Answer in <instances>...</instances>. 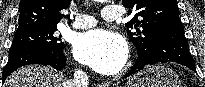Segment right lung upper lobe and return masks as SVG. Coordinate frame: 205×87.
<instances>
[{"label":"right lung upper lobe","instance_id":"right-lung-upper-lobe-1","mask_svg":"<svg viewBox=\"0 0 205 87\" xmlns=\"http://www.w3.org/2000/svg\"><path fill=\"white\" fill-rule=\"evenodd\" d=\"M71 0H21L19 4V26L17 32L57 28Z\"/></svg>","mask_w":205,"mask_h":87}]
</instances>
